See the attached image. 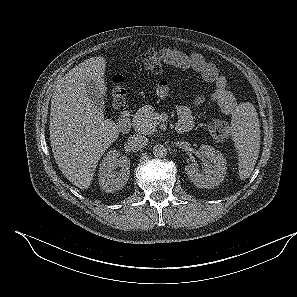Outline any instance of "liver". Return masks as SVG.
<instances>
[{
  "instance_id": "obj_1",
  "label": "liver",
  "mask_w": 297,
  "mask_h": 297,
  "mask_svg": "<svg viewBox=\"0 0 297 297\" xmlns=\"http://www.w3.org/2000/svg\"><path fill=\"white\" fill-rule=\"evenodd\" d=\"M104 57H92L71 69L57 84L51 99L50 141L56 164L80 189H87L106 149L118 138L114 121L87 96L84 82L97 84L105 94Z\"/></svg>"
}]
</instances>
